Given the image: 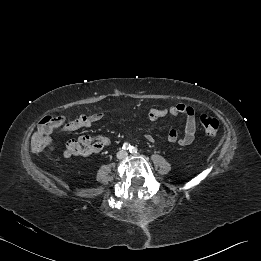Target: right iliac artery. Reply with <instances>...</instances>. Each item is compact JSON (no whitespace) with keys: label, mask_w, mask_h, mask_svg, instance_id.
Instances as JSON below:
<instances>
[{"label":"right iliac artery","mask_w":261,"mask_h":261,"mask_svg":"<svg viewBox=\"0 0 261 261\" xmlns=\"http://www.w3.org/2000/svg\"><path fill=\"white\" fill-rule=\"evenodd\" d=\"M122 148H123L124 150H130L131 145L128 144V143H124Z\"/></svg>","instance_id":"right-iliac-artery-1"}]
</instances>
